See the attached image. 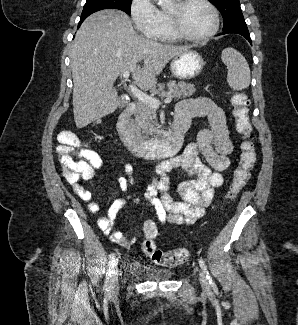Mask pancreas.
<instances>
[{
  "mask_svg": "<svg viewBox=\"0 0 298 325\" xmlns=\"http://www.w3.org/2000/svg\"><path fill=\"white\" fill-rule=\"evenodd\" d=\"M165 86H168V90H164ZM171 92L174 100H179V98H186V96H192L196 92V84L192 82H182V80H169L166 84L159 82L157 88H152L150 92L153 94H158V96H163V94H168ZM134 120H132V128L135 132H138L140 138H156L158 130H160L162 124H159L157 120V114L154 108L144 104V102H136V110L134 112Z\"/></svg>",
  "mask_w": 298,
  "mask_h": 325,
  "instance_id": "pancreas-1",
  "label": "pancreas"
}]
</instances>
